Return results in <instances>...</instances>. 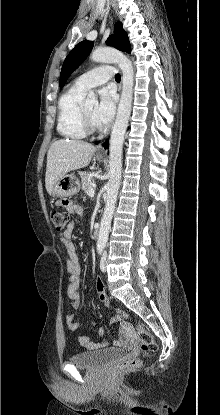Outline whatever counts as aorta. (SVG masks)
I'll list each match as a JSON object with an SVG mask.
<instances>
[{
  "label": "aorta",
  "instance_id": "obj_1",
  "mask_svg": "<svg viewBox=\"0 0 220 415\" xmlns=\"http://www.w3.org/2000/svg\"><path fill=\"white\" fill-rule=\"evenodd\" d=\"M90 57L92 61L98 63H116L121 69L123 75L121 98L110 137V170L109 181L106 185L107 198L98 236V244L106 245L121 182L122 149L131 113L134 69L132 62L123 53L113 48L96 49L91 53ZM86 102L97 103V97L93 91L88 93Z\"/></svg>",
  "mask_w": 220,
  "mask_h": 415
}]
</instances>
